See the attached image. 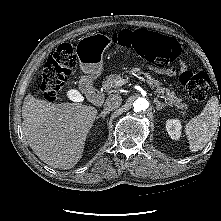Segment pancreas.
<instances>
[{
    "instance_id": "pancreas-1",
    "label": "pancreas",
    "mask_w": 221,
    "mask_h": 221,
    "mask_svg": "<svg viewBox=\"0 0 221 221\" xmlns=\"http://www.w3.org/2000/svg\"><path fill=\"white\" fill-rule=\"evenodd\" d=\"M131 72L140 80L146 82L150 87L154 88L170 105H174L181 110L187 109V105L182 103V100L177 98L174 92H170L169 89L162 87L161 83L151 77L148 73H143L138 68H134ZM124 81L125 79H123L121 74H110L106 80L103 81L102 86L105 90L116 89L121 87L124 84ZM181 113L184 114V112Z\"/></svg>"
}]
</instances>
